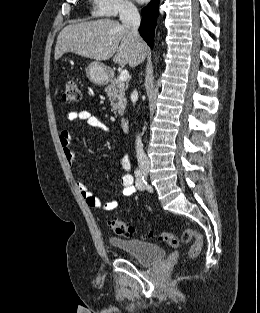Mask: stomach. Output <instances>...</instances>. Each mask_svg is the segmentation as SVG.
<instances>
[{
	"instance_id": "obj_1",
	"label": "stomach",
	"mask_w": 260,
	"mask_h": 313,
	"mask_svg": "<svg viewBox=\"0 0 260 313\" xmlns=\"http://www.w3.org/2000/svg\"><path fill=\"white\" fill-rule=\"evenodd\" d=\"M86 74L88 79L96 85H103L109 79L108 68L98 61L91 62L88 65L86 68Z\"/></svg>"
}]
</instances>
